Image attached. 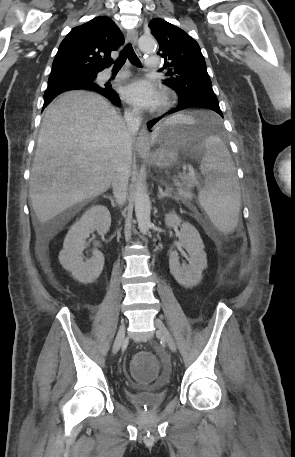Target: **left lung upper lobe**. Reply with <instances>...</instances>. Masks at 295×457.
<instances>
[{
  "label": "left lung upper lobe",
  "instance_id": "1",
  "mask_svg": "<svg viewBox=\"0 0 295 457\" xmlns=\"http://www.w3.org/2000/svg\"><path fill=\"white\" fill-rule=\"evenodd\" d=\"M149 27L159 43L157 54L165 59L163 68H168L163 83L178 93L180 102L207 95L216 97L198 43L160 18L152 19Z\"/></svg>",
  "mask_w": 295,
  "mask_h": 457
}]
</instances>
